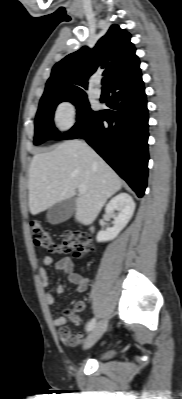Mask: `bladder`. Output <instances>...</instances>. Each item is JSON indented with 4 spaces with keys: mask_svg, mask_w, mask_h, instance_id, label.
Wrapping results in <instances>:
<instances>
[{
    "mask_svg": "<svg viewBox=\"0 0 182 399\" xmlns=\"http://www.w3.org/2000/svg\"><path fill=\"white\" fill-rule=\"evenodd\" d=\"M113 356H114V352H112V351H106V352L101 353V354L98 356V358H99L100 360H106V359H109V358H111V357H113Z\"/></svg>",
    "mask_w": 182,
    "mask_h": 399,
    "instance_id": "31cf9c89",
    "label": "bladder"
}]
</instances>
